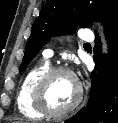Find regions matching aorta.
I'll return each instance as SVG.
<instances>
[{
	"label": "aorta",
	"mask_w": 118,
	"mask_h": 123,
	"mask_svg": "<svg viewBox=\"0 0 118 123\" xmlns=\"http://www.w3.org/2000/svg\"><path fill=\"white\" fill-rule=\"evenodd\" d=\"M106 48H107V47H106V44H105V42H104V45H103V51H104V52H106Z\"/></svg>",
	"instance_id": "1"
}]
</instances>
